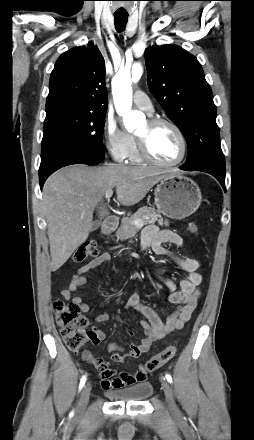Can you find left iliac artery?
<instances>
[{"label":"left iliac artery","mask_w":254,"mask_h":440,"mask_svg":"<svg viewBox=\"0 0 254 440\" xmlns=\"http://www.w3.org/2000/svg\"><path fill=\"white\" fill-rule=\"evenodd\" d=\"M165 377L169 383H172V377L169 374H166Z\"/></svg>","instance_id":"44dca946"}]
</instances>
